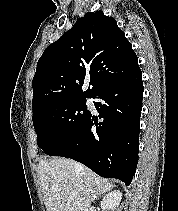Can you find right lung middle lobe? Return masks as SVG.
<instances>
[{"instance_id": "1", "label": "right lung middle lobe", "mask_w": 178, "mask_h": 211, "mask_svg": "<svg viewBox=\"0 0 178 211\" xmlns=\"http://www.w3.org/2000/svg\"><path fill=\"white\" fill-rule=\"evenodd\" d=\"M89 114L85 98L46 106L33 115L37 145L48 155L75 134L84 125Z\"/></svg>"}]
</instances>
